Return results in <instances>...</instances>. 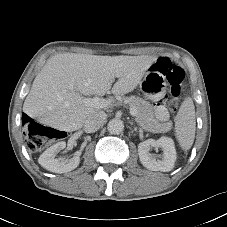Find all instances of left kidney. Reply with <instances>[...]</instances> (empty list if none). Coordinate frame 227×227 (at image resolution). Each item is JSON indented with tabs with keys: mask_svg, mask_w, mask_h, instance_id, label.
<instances>
[{
	"mask_svg": "<svg viewBox=\"0 0 227 227\" xmlns=\"http://www.w3.org/2000/svg\"><path fill=\"white\" fill-rule=\"evenodd\" d=\"M152 148H162L163 156L161 159L150 153ZM138 154L142 165L152 171H171L176 161L174 142L168 137H161L158 140L147 139L141 142L138 145Z\"/></svg>",
	"mask_w": 227,
	"mask_h": 227,
	"instance_id": "1",
	"label": "left kidney"
}]
</instances>
